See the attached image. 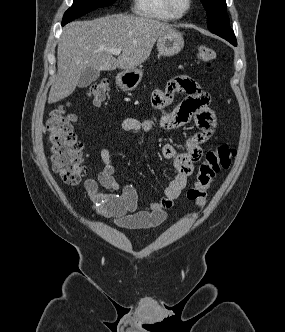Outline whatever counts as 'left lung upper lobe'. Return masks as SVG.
<instances>
[{
  "label": "left lung upper lobe",
  "instance_id": "obj_1",
  "mask_svg": "<svg viewBox=\"0 0 285 332\" xmlns=\"http://www.w3.org/2000/svg\"><path fill=\"white\" fill-rule=\"evenodd\" d=\"M207 12L208 29L224 39H235L226 12V0H201Z\"/></svg>",
  "mask_w": 285,
  "mask_h": 332
}]
</instances>
